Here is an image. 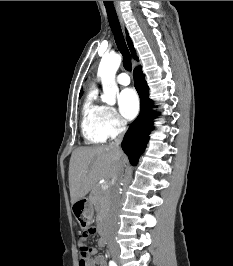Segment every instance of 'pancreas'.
Returning <instances> with one entry per match:
<instances>
[{
    "label": "pancreas",
    "instance_id": "cf45deb5",
    "mask_svg": "<svg viewBox=\"0 0 233 266\" xmlns=\"http://www.w3.org/2000/svg\"><path fill=\"white\" fill-rule=\"evenodd\" d=\"M90 201L94 204L98 211V218H104L109 210L110 192L101 187H94L90 194Z\"/></svg>",
    "mask_w": 233,
    "mask_h": 266
}]
</instances>
